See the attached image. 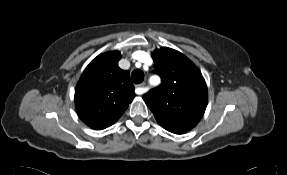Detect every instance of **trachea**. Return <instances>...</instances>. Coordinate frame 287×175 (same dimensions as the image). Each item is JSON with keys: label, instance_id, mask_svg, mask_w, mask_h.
I'll use <instances>...</instances> for the list:
<instances>
[{"label": "trachea", "instance_id": "3493384b", "mask_svg": "<svg viewBox=\"0 0 287 175\" xmlns=\"http://www.w3.org/2000/svg\"><path fill=\"white\" fill-rule=\"evenodd\" d=\"M131 79L133 83L139 84L144 80V73L141 70L136 69L132 72Z\"/></svg>", "mask_w": 287, "mask_h": 175}]
</instances>
